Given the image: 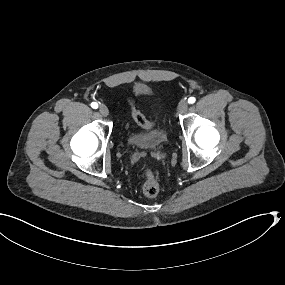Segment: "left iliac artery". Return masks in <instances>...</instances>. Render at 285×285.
<instances>
[{
    "instance_id": "obj_1",
    "label": "left iliac artery",
    "mask_w": 285,
    "mask_h": 285,
    "mask_svg": "<svg viewBox=\"0 0 285 285\" xmlns=\"http://www.w3.org/2000/svg\"><path fill=\"white\" fill-rule=\"evenodd\" d=\"M196 101L195 97H190L188 103L193 104Z\"/></svg>"
}]
</instances>
